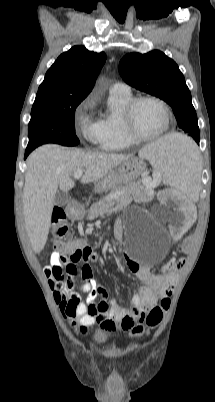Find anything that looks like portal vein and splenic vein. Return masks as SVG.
<instances>
[{"label": "portal vein and splenic vein", "instance_id": "18ae733b", "mask_svg": "<svg viewBox=\"0 0 215 402\" xmlns=\"http://www.w3.org/2000/svg\"><path fill=\"white\" fill-rule=\"evenodd\" d=\"M82 174H83V171H82V170H78V171H76V172L74 173V178H75V179H80L81 176H82ZM158 182H159V181H157V180H153L152 186H153V187L157 186V185H158ZM119 194H121V193H119Z\"/></svg>", "mask_w": 215, "mask_h": 402}]
</instances>
